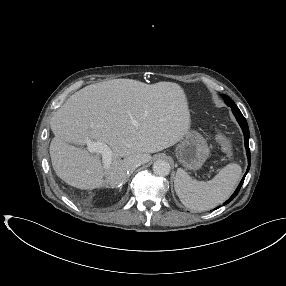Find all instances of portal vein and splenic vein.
<instances>
[{
  "label": "portal vein and splenic vein",
  "mask_w": 286,
  "mask_h": 286,
  "mask_svg": "<svg viewBox=\"0 0 286 286\" xmlns=\"http://www.w3.org/2000/svg\"><path fill=\"white\" fill-rule=\"evenodd\" d=\"M87 150L92 154H101L104 167H110L112 163V150L107 144L102 142L88 141Z\"/></svg>",
  "instance_id": "18ae733b"
}]
</instances>
